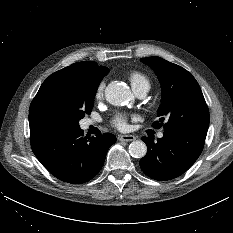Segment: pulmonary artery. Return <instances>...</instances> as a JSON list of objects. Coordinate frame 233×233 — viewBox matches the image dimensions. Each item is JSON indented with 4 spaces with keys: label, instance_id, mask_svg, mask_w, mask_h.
Returning <instances> with one entry per match:
<instances>
[{
    "label": "pulmonary artery",
    "instance_id": "pulmonary-artery-1",
    "mask_svg": "<svg viewBox=\"0 0 233 233\" xmlns=\"http://www.w3.org/2000/svg\"><path fill=\"white\" fill-rule=\"evenodd\" d=\"M148 90H149L148 86H142V87H139V88L135 89L134 92L137 95V97L143 98L147 94ZM90 123H92V122L90 121ZM158 136L160 138H162L163 137V133H160Z\"/></svg>",
    "mask_w": 233,
    "mask_h": 233
}]
</instances>
